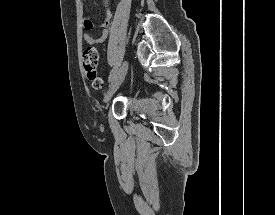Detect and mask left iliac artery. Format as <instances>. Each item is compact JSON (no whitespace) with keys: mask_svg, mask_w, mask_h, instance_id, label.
<instances>
[{"mask_svg":"<svg viewBox=\"0 0 275 215\" xmlns=\"http://www.w3.org/2000/svg\"><path fill=\"white\" fill-rule=\"evenodd\" d=\"M116 73H117V69L116 68H113L112 71L110 72V75L108 77V81L111 82L115 76H116Z\"/></svg>","mask_w":275,"mask_h":215,"instance_id":"44dca946","label":"left iliac artery"}]
</instances>
